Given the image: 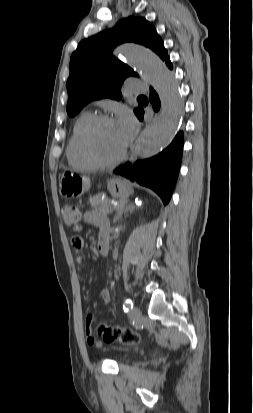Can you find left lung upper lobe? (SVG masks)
I'll use <instances>...</instances> for the list:
<instances>
[{
    "instance_id": "1",
    "label": "left lung upper lobe",
    "mask_w": 253,
    "mask_h": 413,
    "mask_svg": "<svg viewBox=\"0 0 253 413\" xmlns=\"http://www.w3.org/2000/svg\"><path fill=\"white\" fill-rule=\"evenodd\" d=\"M124 42L142 44L157 53L163 61L168 58L156 29L142 17L124 18L112 29L82 40L70 59L67 80V113L70 117L94 99H122L121 83L129 76H138L112 56L114 47ZM140 110V107L134 109L135 114Z\"/></svg>"
}]
</instances>
